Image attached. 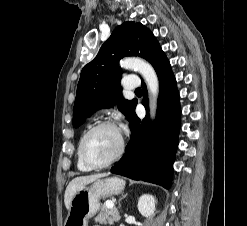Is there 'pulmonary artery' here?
Here are the masks:
<instances>
[{
  "mask_svg": "<svg viewBox=\"0 0 247 226\" xmlns=\"http://www.w3.org/2000/svg\"><path fill=\"white\" fill-rule=\"evenodd\" d=\"M123 87L126 90H135L140 87V80L136 76H127L123 80Z\"/></svg>",
  "mask_w": 247,
  "mask_h": 226,
  "instance_id": "pulmonary-artery-1",
  "label": "pulmonary artery"
}]
</instances>
